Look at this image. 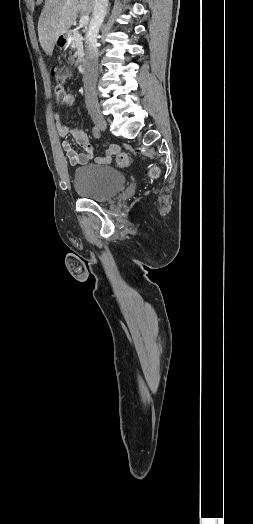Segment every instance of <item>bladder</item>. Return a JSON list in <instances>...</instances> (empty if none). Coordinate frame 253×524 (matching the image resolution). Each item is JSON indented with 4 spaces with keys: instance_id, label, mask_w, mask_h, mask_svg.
<instances>
[{
    "instance_id": "1",
    "label": "bladder",
    "mask_w": 253,
    "mask_h": 524,
    "mask_svg": "<svg viewBox=\"0 0 253 524\" xmlns=\"http://www.w3.org/2000/svg\"><path fill=\"white\" fill-rule=\"evenodd\" d=\"M73 186L81 198L102 203L119 194L126 177L113 167L87 165L74 171Z\"/></svg>"
}]
</instances>
